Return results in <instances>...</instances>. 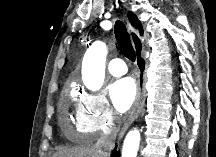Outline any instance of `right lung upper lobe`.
Listing matches in <instances>:
<instances>
[{
    "label": "right lung upper lobe",
    "instance_id": "1",
    "mask_svg": "<svg viewBox=\"0 0 216 157\" xmlns=\"http://www.w3.org/2000/svg\"><path fill=\"white\" fill-rule=\"evenodd\" d=\"M128 17L129 20L131 22V24L139 30L140 35H143V27L141 25V22L138 20V18L136 17V15L134 13H132L131 11L128 12Z\"/></svg>",
    "mask_w": 216,
    "mask_h": 157
}]
</instances>
